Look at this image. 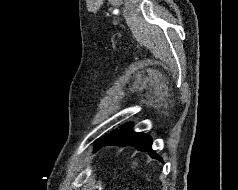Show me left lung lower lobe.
I'll return each mask as SVG.
<instances>
[{"label":"left lung lower lobe","instance_id":"obj_1","mask_svg":"<svg viewBox=\"0 0 238 190\" xmlns=\"http://www.w3.org/2000/svg\"><path fill=\"white\" fill-rule=\"evenodd\" d=\"M132 124H125L121 129H117L111 134L104 137L101 146L119 145V146H135L140 150L148 152L150 157L162 160L152 149V140L150 136L137 133L132 130Z\"/></svg>","mask_w":238,"mask_h":190}]
</instances>
